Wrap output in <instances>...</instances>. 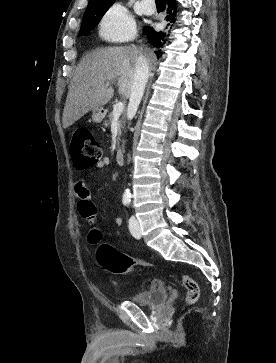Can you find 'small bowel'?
<instances>
[{
	"label": "small bowel",
	"instance_id": "small-bowel-1",
	"mask_svg": "<svg viewBox=\"0 0 276 363\" xmlns=\"http://www.w3.org/2000/svg\"><path fill=\"white\" fill-rule=\"evenodd\" d=\"M109 164L108 158H103L95 166L90 176L95 175L99 170L105 168ZM75 197L78 200V211L81 217L85 220L91 221L96 217V207L91 201V193L88 184L85 181H78L75 185ZM117 226H121L123 221L120 217L114 220Z\"/></svg>",
	"mask_w": 276,
	"mask_h": 363
}]
</instances>
